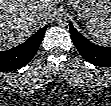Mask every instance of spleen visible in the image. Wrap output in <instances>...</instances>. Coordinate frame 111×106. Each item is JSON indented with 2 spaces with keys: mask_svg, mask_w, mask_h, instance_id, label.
Wrapping results in <instances>:
<instances>
[{
  "mask_svg": "<svg viewBox=\"0 0 111 106\" xmlns=\"http://www.w3.org/2000/svg\"><path fill=\"white\" fill-rule=\"evenodd\" d=\"M89 34L101 45L111 46V16L107 20H91L86 24Z\"/></svg>",
  "mask_w": 111,
  "mask_h": 106,
  "instance_id": "obj_1",
  "label": "spleen"
}]
</instances>
